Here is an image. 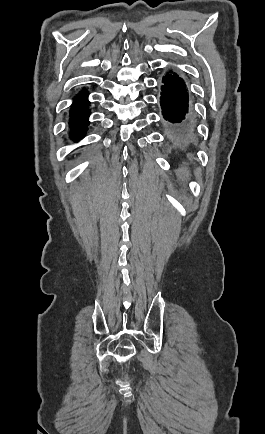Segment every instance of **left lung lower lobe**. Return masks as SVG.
<instances>
[{"instance_id":"left-lung-lower-lobe-1","label":"left lung lower lobe","mask_w":265,"mask_h":434,"mask_svg":"<svg viewBox=\"0 0 265 434\" xmlns=\"http://www.w3.org/2000/svg\"><path fill=\"white\" fill-rule=\"evenodd\" d=\"M160 103L165 119L163 135L167 146L187 153L197 143V129L189 109L188 91L184 80L169 71L162 80Z\"/></svg>"}]
</instances>
